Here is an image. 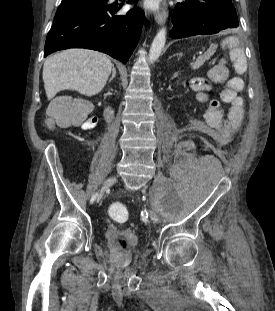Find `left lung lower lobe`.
<instances>
[{"mask_svg":"<svg viewBox=\"0 0 275 311\" xmlns=\"http://www.w3.org/2000/svg\"><path fill=\"white\" fill-rule=\"evenodd\" d=\"M173 39L193 35H209L239 26L231 0H184L172 14Z\"/></svg>","mask_w":275,"mask_h":311,"instance_id":"obj_1","label":"left lung lower lobe"}]
</instances>
